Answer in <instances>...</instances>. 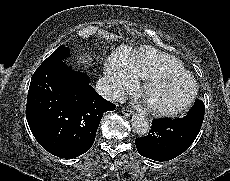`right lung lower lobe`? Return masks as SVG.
<instances>
[{
  "mask_svg": "<svg viewBox=\"0 0 230 181\" xmlns=\"http://www.w3.org/2000/svg\"><path fill=\"white\" fill-rule=\"evenodd\" d=\"M115 105L102 98L87 75L63 60L41 64L29 86L26 118L37 142L49 153L75 158L95 141L103 113Z\"/></svg>",
  "mask_w": 230,
  "mask_h": 181,
  "instance_id": "obj_1",
  "label": "right lung lower lobe"
}]
</instances>
